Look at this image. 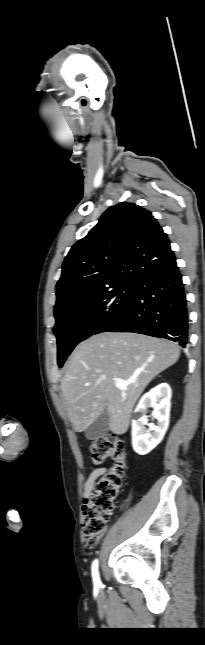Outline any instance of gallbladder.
I'll list each match as a JSON object with an SVG mask.
<instances>
[{
    "label": "gallbladder",
    "mask_w": 205,
    "mask_h": 645,
    "mask_svg": "<svg viewBox=\"0 0 205 645\" xmlns=\"http://www.w3.org/2000/svg\"><path fill=\"white\" fill-rule=\"evenodd\" d=\"M109 430V416L104 411L91 425L85 430V437L88 440H96L107 435Z\"/></svg>",
    "instance_id": "bac80fb5"
}]
</instances>
